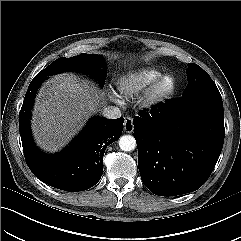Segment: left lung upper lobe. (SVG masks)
Instances as JSON below:
<instances>
[{
  "label": "left lung upper lobe",
  "instance_id": "obj_1",
  "mask_svg": "<svg viewBox=\"0 0 241 241\" xmlns=\"http://www.w3.org/2000/svg\"><path fill=\"white\" fill-rule=\"evenodd\" d=\"M209 95L221 97L220 92L211 77L198 65L188 64V84L182 98Z\"/></svg>",
  "mask_w": 241,
  "mask_h": 241
}]
</instances>
